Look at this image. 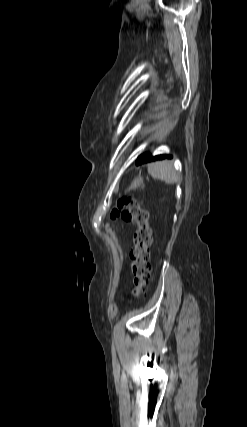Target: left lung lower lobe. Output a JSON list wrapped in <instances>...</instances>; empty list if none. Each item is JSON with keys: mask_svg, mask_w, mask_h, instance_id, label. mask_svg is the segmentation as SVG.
Segmentation results:
<instances>
[{"mask_svg": "<svg viewBox=\"0 0 247 427\" xmlns=\"http://www.w3.org/2000/svg\"><path fill=\"white\" fill-rule=\"evenodd\" d=\"M172 156L170 155H157V156H152L150 153H145L140 155L137 160H136V164L137 165H141V164H145L151 161H155V160H162L164 158H171Z\"/></svg>", "mask_w": 247, "mask_h": 427, "instance_id": "obj_1", "label": "left lung lower lobe"}]
</instances>
